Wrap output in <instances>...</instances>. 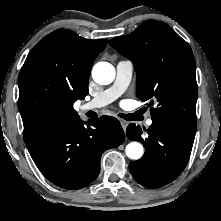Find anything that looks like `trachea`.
<instances>
[{"instance_id":"trachea-1","label":"trachea","mask_w":221,"mask_h":221,"mask_svg":"<svg viewBox=\"0 0 221 221\" xmlns=\"http://www.w3.org/2000/svg\"><path fill=\"white\" fill-rule=\"evenodd\" d=\"M119 116L123 119L129 120L130 116L128 114H119Z\"/></svg>"}]
</instances>
